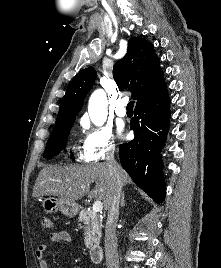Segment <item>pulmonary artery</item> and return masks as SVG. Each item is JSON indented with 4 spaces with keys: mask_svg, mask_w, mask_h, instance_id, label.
<instances>
[{
    "mask_svg": "<svg viewBox=\"0 0 221 268\" xmlns=\"http://www.w3.org/2000/svg\"><path fill=\"white\" fill-rule=\"evenodd\" d=\"M126 104L127 100L126 99H121L115 109L116 115L119 117H125L126 116Z\"/></svg>",
    "mask_w": 221,
    "mask_h": 268,
    "instance_id": "obj_1",
    "label": "pulmonary artery"
}]
</instances>
